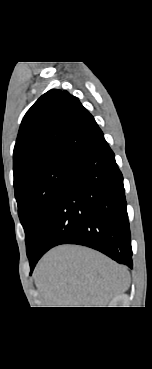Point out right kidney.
<instances>
[{
	"mask_svg": "<svg viewBox=\"0 0 152 369\" xmlns=\"http://www.w3.org/2000/svg\"><path fill=\"white\" fill-rule=\"evenodd\" d=\"M123 299V296H116L113 298V300L110 302L109 307H121V301Z\"/></svg>",
	"mask_w": 152,
	"mask_h": 369,
	"instance_id": "ca27d5eb",
	"label": "right kidney"
}]
</instances>
